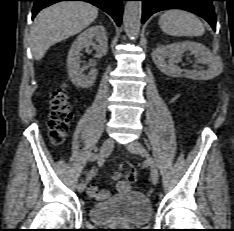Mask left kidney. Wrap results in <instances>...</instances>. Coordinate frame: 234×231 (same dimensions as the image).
I'll use <instances>...</instances> for the list:
<instances>
[{"mask_svg":"<svg viewBox=\"0 0 234 231\" xmlns=\"http://www.w3.org/2000/svg\"><path fill=\"white\" fill-rule=\"evenodd\" d=\"M187 51L194 55L199 63L206 64L209 67L207 70L189 71L186 75L188 78L193 80H210L222 73L223 64L221 58L213 55L203 44L194 41L159 46L153 50L152 59L158 69L164 74L178 77L180 74L176 70L175 62Z\"/></svg>","mask_w":234,"mask_h":231,"instance_id":"left-kidney-1","label":"left kidney"}]
</instances>
